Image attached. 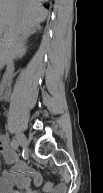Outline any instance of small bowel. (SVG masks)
I'll return each mask as SVG.
<instances>
[{
	"instance_id": "1",
	"label": "small bowel",
	"mask_w": 103,
	"mask_h": 193,
	"mask_svg": "<svg viewBox=\"0 0 103 193\" xmlns=\"http://www.w3.org/2000/svg\"><path fill=\"white\" fill-rule=\"evenodd\" d=\"M0 153L4 161L11 165L9 169L2 172L0 193H20L14 190L15 187L25 193H39L37 189L31 187V181L33 180L36 187L41 186L42 175L40 171L19 160L16 153L8 146L5 136L0 138ZM42 191L44 193H65L66 186L64 184L46 183Z\"/></svg>"
}]
</instances>
